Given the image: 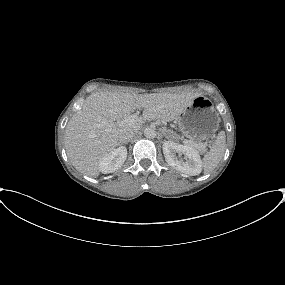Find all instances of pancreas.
Returning a JSON list of instances; mask_svg holds the SVG:
<instances>
[{"instance_id":"1","label":"pancreas","mask_w":285,"mask_h":285,"mask_svg":"<svg viewBox=\"0 0 285 285\" xmlns=\"http://www.w3.org/2000/svg\"><path fill=\"white\" fill-rule=\"evenodd\" d=\"M193 140V139H192ZM191 141V140H190ZM195 144V147L201 152L204 153L206 151V146L201 143V142H197V141H192ZM193 146V145H192Z\"/></svg>"}]
</instances>
